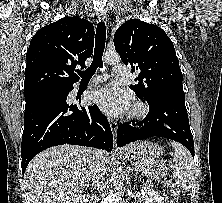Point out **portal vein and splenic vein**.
<instances>
[{
  "instance_id": "obj_1",
  "label": "portal vein and splenic vein",
  "mask_w": 222,
  "mask_h": 203,
  "mask_svg": "<svg viewBox=\"0 0 222 203\" xmlns=\"http://www.w3.org/2000/svg\"><path fill=\"white\" fill-rule=\"evenodd\" d=\"M140 165H141V163H136L135 164L136 167H139ZM171 166H173V165H171Z\"/></svg>"
}]
</instances>
